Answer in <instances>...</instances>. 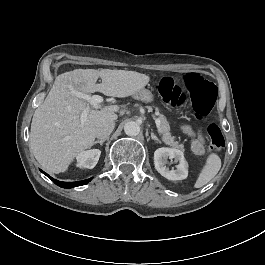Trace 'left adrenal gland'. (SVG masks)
<instances>
[{
  "label": "left adrenal gland",
  "instance_id": "left-adrenal-gland-1",
  "mask_svg": "<svg viewBox=\"0 0 265 265\" xmlns=\"http://www.w3.org/2000/svg\"><path fill=\"white\" fill-rule=\"evenodd\" d=\"M152 140L157 141V143L161 144V141L154 135V133H151Z\"/></svg>",
  "mask_w": 265,
  "mask_h": 265
}]
</instances>
